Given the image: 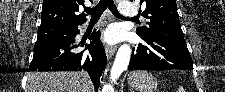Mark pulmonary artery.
I'll return each mask as SVG.
<instances>
[{
	"instance_id": "obj_1",
	"label": "pulmonary artery",
	"mask_w": 225,
	"mask_h": 92,
	"mask_svg": "<svg viewBox=\"0 0 225 92\" xmlns=\"http://www.w3.org/2000/svg\"><path fill=\"white\" fill-rule=\"evenodd\" d=\"M129 6H130V3L121 4V8H123V9L128 8ZM136 15H137V11H135V10H128V9L124 10V17H126V18L132 19Z\"/></svg>"
}]
</instances>
